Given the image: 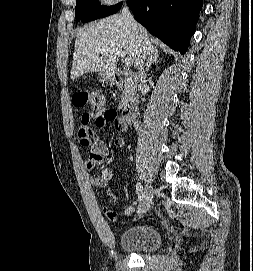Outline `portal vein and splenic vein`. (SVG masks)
I'll return each mask as SVG.
<instances>
[{
	"label": "portal vein and splenic vein",
	"instance_id": "1",
	"mask_svg": "<svg viewBox=\"0 0 253 271\" xmlns=\"http://www.w3.org/2000/svg\"><path fill=\"white\" fill-rule=\"evenodd\" d=\"M99 52L101 54L109 53L110 52V53H113V54H115L117 56L125 58V52L123 50H121V49H118V48H116V49H110V48L101 49V50H99ZM124 64H125V66L129 67V66H131L133 64V61H132V59L126 57L124 59Z\"/></svg>",
	"mask_w": 253,
	"mask_h": 271
}]
</instances>
